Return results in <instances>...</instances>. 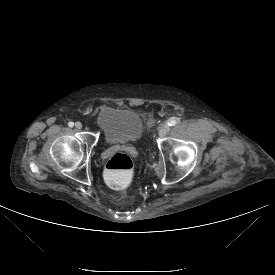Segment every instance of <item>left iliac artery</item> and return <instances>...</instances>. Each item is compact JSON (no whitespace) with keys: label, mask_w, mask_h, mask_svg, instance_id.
I'll return each instance as SVG.
<instances>
[{"label":"left iliac artery","mask_w":275,"mask_h":275,"mask_svg":"<svg viewBox=\"0 0 275 275\" xmlns=\"http://www.w3.org/2000/svg\"><path fill=\"white\" fill-rule=\"evenodd\" d=\"M176 123H177V121L175 119H171L168 121L169 126H174V125H176Z\"/></svg>","instance_id":"left-iliac-artery-1"}]
</instances>
